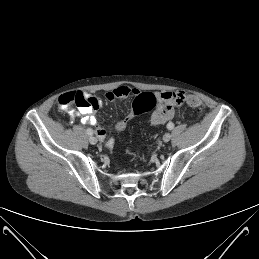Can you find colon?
I'll list each match as a JSON object with an SVG mask.
<instances>
[{
	"label": "colon",
	"mask_w": 259,
	"mask_h": 259,
	"mask_svg": "<svg viewBox=\"0 0 259 259\" xmlns=\"http://www.w3.org/2000/svg\"><path fill=\"white\" fill-rule=\"evenodd\" d=\"M187 104L197 109L198 111H202L204 106L202 101L196 96H188L186 99ZM157 104V98L152 93H139L136 95L133 104H132V113L129 114L126 118L118 122L117 130L121 131L126 128L130 120L139 114L148 112L152 110Z\"/></svg>",
	"instance_id": "colon-1"
}]
</instances>
